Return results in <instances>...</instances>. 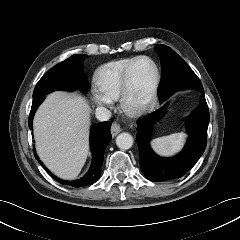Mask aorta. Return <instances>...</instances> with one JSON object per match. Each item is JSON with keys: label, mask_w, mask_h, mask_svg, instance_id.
<instances>
[{"label": "aorta", "mask_w": 240, "mask_h": 240, "mask_svg": "<svg viewBox=\"0 0 240 240\" xmlns=\"http://www.w3.org/2000/svg\"><path fill=\"white\" fill-rule=\"evenodd\" d=\"M116 145L122 150H128L133 145V137L129 133H121L116 138Z\"/></svg>", "instance_id": "aorta-1"}]
</instances>
